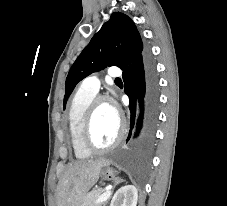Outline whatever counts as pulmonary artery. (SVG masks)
Listing matches in <instances>:
<instances>
[{
	"label": "pulmonary artery",
	"mask_w": 227,
	"mask_h": 206,
	"mask_svg": "<svg viewBox=\"0 0 227 206\" xmlns=\"http://www.w3.org/2000/svg\"><path fill=\"white\" fill-rule=\"evenodd\" d=\"M109 77L119 78L122 75V72L117 67H111L108 71ZM100 88V81L96 75L89 76L85 78L81 84L80 89L96 94Z\"/></svg>",
	"instance_id": "obj_1"
}]
</instances>
